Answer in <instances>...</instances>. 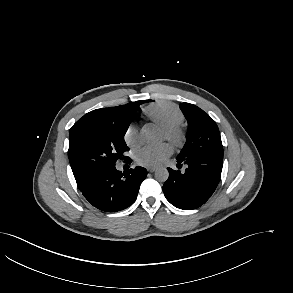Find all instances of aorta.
Wrapping results in <instances>:
<instances>
[{
  "mask_svg": "<svg viewBox=\"0 0 293 293\" xmlns=\"http://www.w3.org/2000/svg\"><path fill=\"white\" fill-rule=\"evenodd\" d=\"M141 136L143 140L149 144H156L161 140V136L158 131L150 127H144L141 130ZM168 177L169 172L166 168H159L155 171V179L159 182H165Z\"/></svg>",
  "mask_w": 293,
  "mask_h": 293,
  "instance_id": "762f6f07",
  "label": "aorta"
}]
</instances>
